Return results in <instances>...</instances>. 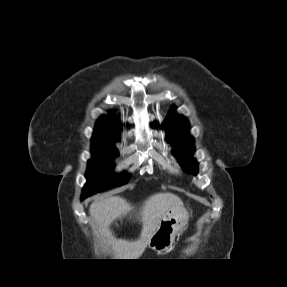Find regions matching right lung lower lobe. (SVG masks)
<instances>
[{
    "instance_id": "right-lung-lower-lobe-1",
    "label": "right lung lower lobe",
    "mask_w": 287,
    "mask_h": 287,
    "mask_svg": "<svg viewBox=\"0 0 287 287\" xmlns=\"http://www.w3.org/2000/svg\"><path fill=\"white\" fill-rule=\"evenodd\" d=\"M85 198H87V197L81 196V200H84Z\"/></svg>"
}]
</instances>
